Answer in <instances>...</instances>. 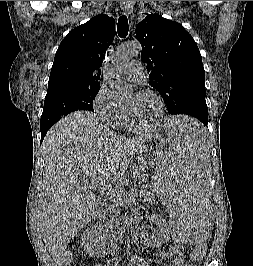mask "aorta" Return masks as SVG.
I'll return each mask as SVG.
<instances>
[{
	"label": "aorta",
	"mask_w": 253,
	"mask_h": 266,
	"mask_svg": "<svg viewBox=\"0 0 253 266\" xmlns=\"http://www.w3.org/2000/svg\"><path fill=\"white\" fill-rule=\"evenodd\" d=\"M141 50L142 46L139 42H130L120 45L115 53L116 66L128 62L134 56L138 55ZM109 85L118 97H127L132 91L130 85L115 76L109 80Z\"/></svg>",
	"instance_id": "aorta-1"
}]
</instances>
